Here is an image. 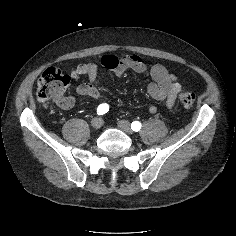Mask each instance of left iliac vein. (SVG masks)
Here are the masks:
<instances>
[{"label":"left iliac vein","mask_w":236,"mask_h":236,"mask_svg":"<svg viewBox=\"0 0 236 236\" xmlns=\"http://www.w3.org/2000/svg\"><path fill=\"white\" fill-rule=\"evenodd\" d=\"M118 127L128 134H133L130 123L126 120H120L118 122Z\"/></svg>","instance_id":"1"}]
</instances>
